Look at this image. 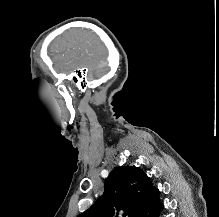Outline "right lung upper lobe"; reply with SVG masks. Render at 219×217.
Listing matches in <instances>:
<instances>
[{"label":"right lung upper lobe","mask_w":219,"mask_h":217,"mask_svg":"<svg viewBox=\"0 0 219 217\" xmlns=\"http://www.w3.org/2000/svg\"><path fill=\"white\" fill-rule=\"evenodd\" d=\"M163 208L159 190L138 167L114 168L102 197L79 217H156Z\"/></svg>","instance_id":"cb5924a9"}]
</instances>
